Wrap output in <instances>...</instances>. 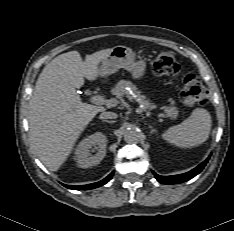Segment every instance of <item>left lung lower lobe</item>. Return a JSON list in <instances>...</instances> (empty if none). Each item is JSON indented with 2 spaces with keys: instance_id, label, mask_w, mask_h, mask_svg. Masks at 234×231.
Masks as SVG:
<instances>
[{
  "instance_id": "1",
  "label": "left lung lower lobe",
  "mask_w": 234,
  "mask_h": 231,
  "mask_svg": "<svg viewBox=\"0 0 234 231\" xmlns=\"http://www.w3.org/2000/svg\"><path fill=\"white\" fill-rule=\"evenodd\" d=\"M210 157H208L204 162H202L200 165H198L196 168L193 170L184 173V174H179V175H174V176H160L156 173H154L156 179L163 184H177V183H182L185 181L190 180L197 174H199L202 169L205 167L206 163L208 162Z\"/></svg>"
}]
</instances>
